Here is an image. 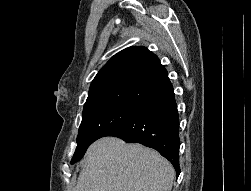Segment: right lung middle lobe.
Wrapping results in <instances>:
<instances>
[{
  "label": "right lung middle lobe",
  "mask_w": 251,
  "mask_h": 191,
  "mask_svg": "<svg viewBox=\"0 0 251 191\" xmlns=\"http://www.w3.org/2000/svg\"><path fill=\"white\" fill-rule=\"evenodd\" d=\"M140 109L141 107L125 103H107L84 110L71 163L80 160L94 141L106 136Z\"/></svg>",
  "instance_id": "obj_1"
}]
</instances>
